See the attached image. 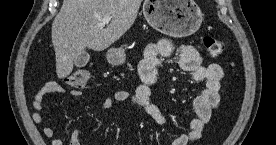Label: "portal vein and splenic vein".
I'll use <instances>...</instances> for the list:
<instances>
[{"label":"portal vein and splenic vein","instance_id":"obj_1","mask_svg":"<svg viewBox=\"0 0 276 145\" xmlns=\"http://www.w3.org/2000/svg\"><path fill=\"white\" fill-rule=\"evenodd\" d=\"M111 18H112L111 16H105V17L102 18L101 21H102L104 24H105V23H109V22L111 21Z\"/></svg>","mask_w":276,"mask_h":145}]
</instances>
